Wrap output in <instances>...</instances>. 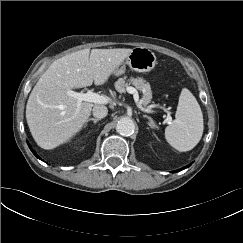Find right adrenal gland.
<instances>
[{
  "label": "right adrenal gland",
  "mask_w": 243,
  "mask_h": 243,
  "mask_svg": "<svg viewBox=\"0 0 243 243\" xmlns=\"http://www.w3.org/2000/svg\"><path fill=\"white\" fill-rule=\"evenodd\" d=\"M99 120H100V119H98V118H89V119L86 121V125H87V123H88L89 121H93V123L96 124ZM86 125H85V126H86Z\"/></svg>",
  "instance_id": "1"
}]
</instances>
